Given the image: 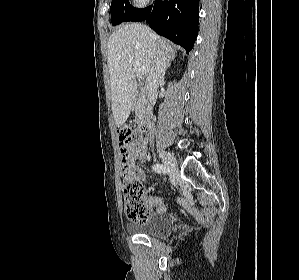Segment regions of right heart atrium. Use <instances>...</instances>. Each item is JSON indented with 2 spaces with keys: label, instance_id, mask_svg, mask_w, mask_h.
<instances>
[{
  "label": "right heart atrium",
  "instance_id": "obj_1",
  "mask_svg": "<svg viewBox=\"0 0 299 280\" xmlns=\"http://www.w3.org/2000/svg\"><path fill=\"white\" fill-rule=\"evenodd\" d=\"M132 1L136 7H144L149 3L150 0H132Z\"/></svg>",
  "mask_w": 299,
  "mask_h": 280
}]
</instances>
